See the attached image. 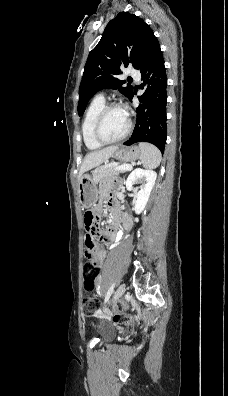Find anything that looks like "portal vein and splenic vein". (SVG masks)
Returning a JSON list of instances; mask_svg holds the SVG:
<instances>
[{
  "label": "portal vein and splenic vein",
  "mask_w": 228,
  "mask_h": 396,
  "mask_svg": "<svg viewBox=\"0 0 228 396\" xmlns=\"http://www.w3.org/2000/svg\"><path fill=\"white\" fill-rule=\"evenodd\" d=\"M132 167L130 165H119L115 168V170H131Z\"/></svg>",
  "instance_id": "1"
}]
</instances>
